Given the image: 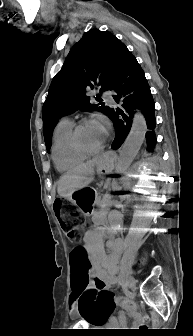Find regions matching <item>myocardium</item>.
<instances>
[{
    "instance_id": "1",
    "label": "myocardium",
    "mask_w": 193,
    "mask_h": 336,
    "mask_svg": "<svg viewBox=\"0 0 193 336\" xmlns=\"http://www.w3.org/2000/svg\"><path fill=\"white\" fill-rule=\"evenodd\" d=\"M89 123H90V121H88V120H83V121L79 122L75 127H73L72 132H71V136H70L72 147L77 152H79V153H81L85 156H93V155H96V154L100 153L104 149L105 144H106V139H107V136L105 134L104 140L102 141V143L98 147H96L94 149H89V148L85 147L79 139V133Z\"/></svg>"
}]
</instances>
